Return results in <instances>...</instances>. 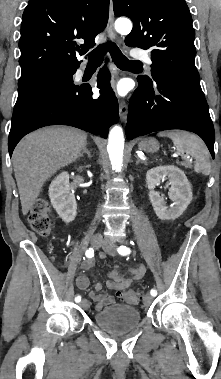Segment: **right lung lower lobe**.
I'll return each instance as SVG.
<instances>
[{"instance_id": "right-lung-lower-lobe-1", "label": "right lung lower lobe", "mask_w": 221, "mask_h": 379, "mask_svg": "<svg viewBox=\"0 0 221 379\" xmlns=\"http://www.w3.org/2000/svg\"><path fill=\"white\" fill-rule=\"evenodd\" d=\"M97 81L101 93L98 99L92 98L90 85L75 86L73 79L55 80L33 95L12 117L8 139L10 157L26 134L48 125L74 126L107 138L108 128L119 118L118 103L110 86L109 72L101 70Z\"/></svg>"}]
</instances>
